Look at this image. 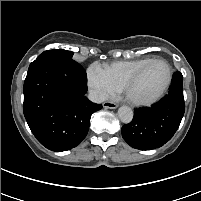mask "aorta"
Here are the masks:
<instances>
[{"instance_id":"762f6f07","label":"aorta","mask_w":201,"mask_h":201,"mask_svg":"<svg viewBox=\"0 0 201 201\" xmlns=\"http://www.w3.org/2000/svg\"><path fill=\"white\" fill-rule=\"evenodd\" d=\"M118 117L123 123H130L133 119V111L130 107L122 106L118 109Z\"/></svg>"}]
</instances>
